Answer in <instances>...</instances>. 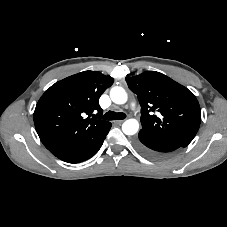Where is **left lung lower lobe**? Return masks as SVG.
I'll list each match as a JSON object with an SVG mask.
<instances>
[{"label":"left lung lower lobe","instance_id":"0a47b994","mask_svg":"<svg viewBox=\"0 0 227 227\" xmlns=\"http://www.w3.org/2000/svg\"><path fill=\"white\" fill-rule=\"evenodd\" d=\"M135 147L147 157L160 159L168 156L171 152L182 146L167 139L139 132L138 138L135 141Z\"/></svg>","mask_w":227,"mask_h":227}]
</instances>
